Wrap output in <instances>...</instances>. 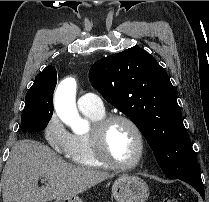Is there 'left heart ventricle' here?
Here are the masks:
<instances>
[{
  "label": "left heart ventricle",
  "mask_w": 209,
  "mask_h": 202,
  "mask_svg": "<svg viewBox=\"0 0 209 202\" xmlns=\"http://www.w3.org/2000/svg\"><path fill=\"white\" fill-rule=\"evenodd\" d=\"M106 149L114 161L132 164L137 159L139 151L137 135L128 124L116 122L107 132Z\"/></svg>",
  "instance_id": "b2bd125f"
}]
</instances>
